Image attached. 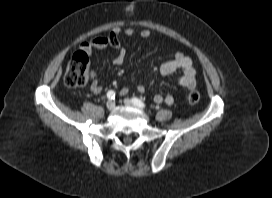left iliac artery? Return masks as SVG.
Returning <instances> with one entry per match:
<instances>
[{
	"instance_id": "44dca946",
	"label": "left iliac artery",
	"mask_w": 272,
	"mask_h": 198,
	"mask_svg": "<svg viewBox=\"0 0 272 198\" xmlns=\"http://www.w3.org/2000/svg\"><path fill=\"white\" fill-rule=\"evenodd\" d=\"M132 102H133V104H134L135 106H137V107H139V108H145L144 102L141 101L140 99L136 98V97H134V98L132 99Z\"/></svg>"
}]
</instances>
